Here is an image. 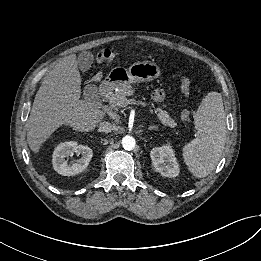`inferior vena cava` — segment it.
Masks as SVG:
<instances>
[{
	"instance_id": "602c4592",
	"label": "inferior vena cava",
	"mask_w": 261,
	"mask_h": 261,
	"mask_svg": "<svg viewBox=\"0 0 261 261\" xmlns=\"http://www.w3.org/2000/svg\"><path fill=\"white\" fill-rule=\"evenodd\" d=\"M114 128L115 127L111 123L106 122V121L101 122L100 125H99V131L100 132L109 133V132L113 131Z\"/></svg>"
}]
</instances>
